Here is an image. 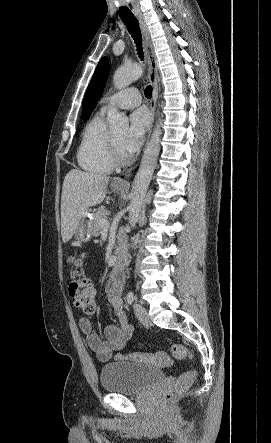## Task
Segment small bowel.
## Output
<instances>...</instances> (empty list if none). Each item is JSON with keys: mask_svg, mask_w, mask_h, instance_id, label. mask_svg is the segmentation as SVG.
I'll return each instance as SVG.
<instances>
[{"mask_svg": "<svg viewBox=\"0 0 271 443\" xmlns=\"http://www.w3.org/2000/svg\"><path fill=\"white\" fill-rule=\"evenodd\" d=\"M122 290L123 278L120 276L111 277L106 286V291L118 325H107L104 328V339L95 332L91 320L82 318L79 321V327L86 336L88 347L101 361H107L116 352L121 351L132 334V327L128 322L121 298Z\"/></svg>", "mask_w": 271, "mask_h": 443, "instance_id": "c3829d8e", "label": "small bowel"}]
</instances>
